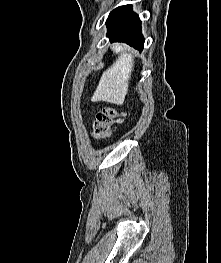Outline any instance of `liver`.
I'll return each instance as SVG.
<instances>
[{"label": "liver", "mask_w": 221, "mask_h": 263, "mask_svg": "<svg viewBox=\"0 0 221 263\" xmlns=\"http://www.w3.org/2000/svg\"><path fill=\"white\" fill-rule=\"evenodd\" d=\"M112 50L116 54L120 53V56L103 72L91 100L122 105L128 93L134 59L132 54L125 51L122 44H114Z\"/></svg>", "instance_id": "obj_1"}]
</instances>
